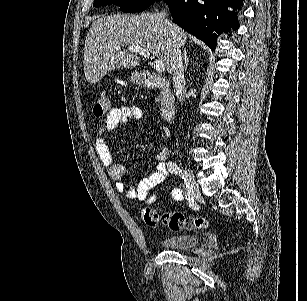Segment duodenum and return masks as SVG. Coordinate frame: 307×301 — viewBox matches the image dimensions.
I'll list each match as a JSON object with an SVG mask.
<instances>
[{
  "label": "duodenum",
  "instance_id": "1",
  "mask_svg": "<svg viewBox=\"0 0 307 301\" xmlns=\"http://www.w3.org/2000/svg\"><path fill=\"white\" fill-rule=\"evenodd\" d=\"M142 82L149 87L157 88L161 93L160 115L166 122H171L175 117V97L166 79L158 78L150 73H143Z\"/></svg>",
  "mask_w": 307,
  "mask_h": 301
}]
</instances>
